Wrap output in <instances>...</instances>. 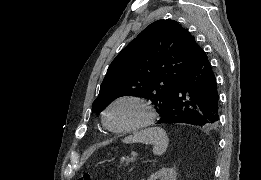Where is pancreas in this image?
<instances>
[{"label":"pancreas","instance_id":"1","mask_svg":"<svg viewBox=\"0 0 261 180\" xmlns=\"http://www.w3.org/2000/svg\"><path fill=\"white\" fill-rule=\"evenodd\" d=\"M129 164H131L130 158H126L123 160H120V162H118V167H128Z\"/></svg>","mask_w":261,"mask_h":180}]
</instances>
